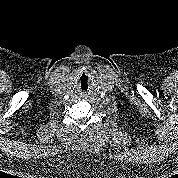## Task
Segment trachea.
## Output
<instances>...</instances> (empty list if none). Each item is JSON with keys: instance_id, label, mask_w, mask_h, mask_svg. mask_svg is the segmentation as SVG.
Returning a JSON list of instances; mask_svg holds the SVG:
<instances>
[{"instance_id": "obj_1", "label": "trachea", "mask_w": 178, "mask_h": 178, "mask_svg": "<svg viewBox=\"0 0 178 178\" xmlns=\"http://www.w3.org/2000/svg\"><path fill=\"white\" fill-rule=\"evenodd\" d=\"M78 86L82 91H87L89 87L88 78L86 76H82L79 80Z\"/></svg>"}]
</instances>
